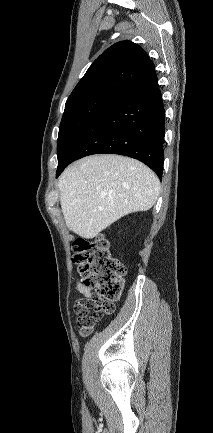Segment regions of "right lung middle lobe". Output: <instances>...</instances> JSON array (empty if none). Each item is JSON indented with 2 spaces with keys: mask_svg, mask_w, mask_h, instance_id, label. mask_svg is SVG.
I'll use <instances>...</instances> for the list:
<instances>
[{
  "mask_svg": "<svg viewBox=\"0 0 213 433\" xmlns=\"http://www.w3.org/2000/svg\"><path fill=\"white\" fill-rule=\"evenodd\" d=\"M121 93L103 92L66 103L58 136V159L76 136Z\"/></svg>",
  "mask_w": 213,
  "mask_h": 433,
  "instance_id": "1",
  "label": "right lung middle lobe"
}]
</instances>
